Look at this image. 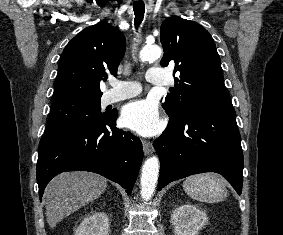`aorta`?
Listing matches in <instances>:
<instances>
[{
  "label": "aorta",
  "instance_id": "aorta-1",
  "mask_svg": "<svg viewBox=\"0 0 283 235\" xmlns=\"http://www.w3.org/2000/svg\"><path fill=\"white\" fill-rule=\"evenodd\" d=\"M162 55V50L157 45H147L140 51L141 61H155ZM159 176V159L156 156L148 158L141 172V191L140 195L144 200H150L156 188Z\"/></svg>",
  "mask_w": 283,
  "mask_h": 235
}]
</instances>
